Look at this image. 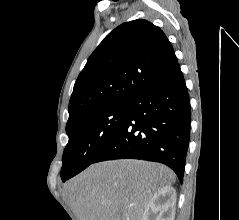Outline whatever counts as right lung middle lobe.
Wrapping results in <instances>:
<instances>
[{
  "mask_svg": "<svg viewBox=\"0 0 239 220\" xmlns=\"http://www.w3.org/2000/svg\"><path fill=\"white\" fill-rule=\"evenodd\" d=\"M127 105L90 112L66 126L69 141L62 157L63 182L93 163L126 119Z\"/></svg>",
  "mask_w": 239,
  "mask_h": 220,
  "instance_id": "1",
  "label": "right lung middle lobe"
}]
</instances>
